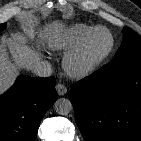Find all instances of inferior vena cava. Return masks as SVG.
<instances>
[{"label": "inferior vena cava", "mask_w": 141, "mask_h": 141, "mask_svg": "<svg viewBox=\"0 0 141 141\" xmlns=\"http://www.w3.org/2000/svg\"><path fill=\"white\" fill-rule=\"evenodd\" d=\"M33 71L39 77H49L52 74V66L47 61H39L34 66Z\"/></svg>", "instance_id": "602c4592"}]
</instances>
